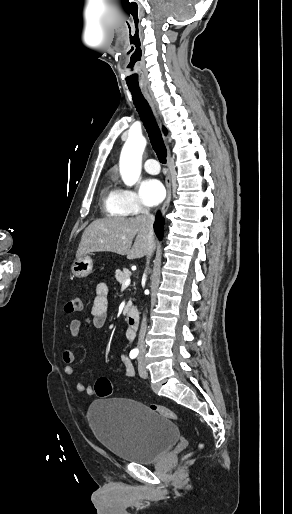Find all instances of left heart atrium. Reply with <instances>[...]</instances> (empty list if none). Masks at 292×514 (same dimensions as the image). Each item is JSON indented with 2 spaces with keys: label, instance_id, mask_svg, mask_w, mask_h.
<instances>
[{
  "label": "left heart atrium",
  "instance_id": "1",
  "mask_svg": "<svg viewBox=\"0 0 292 514\" xmlns=\"http://www.w3.org/2000/svg\"><path fill=\"white\" fill-rule=\"evenodd\" d=\"M141 194L145 202L153 206L162 201L165 196V189L160 181L150 179L143 183Z\"/></svg>",
  "mask_w": 292,
  "mask_h": 514
}]
</instances>
